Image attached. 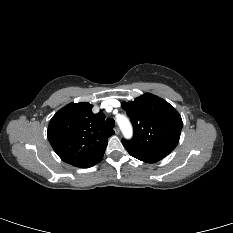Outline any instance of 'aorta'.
Returning <instances> with one entry per match:
<instances>
[{
    "label": "aorta",
    "mask_w": 233,
    "mask_h": 233,
    "mask_svg": "<svg viewBox=\"0 0 233 233\" xmlns=\"http://www.w3.org/2000/svg\"><path fill=\"white\" fill-rule=\"evenodd\" d=\"M117 122L121 128V131H122L124 137L127 139H130L132 137L133 130H132V126H131L129 120L124 116H120L117 119Z\"/></svg>",
    "instance_id": "1"
}]
</instances>
